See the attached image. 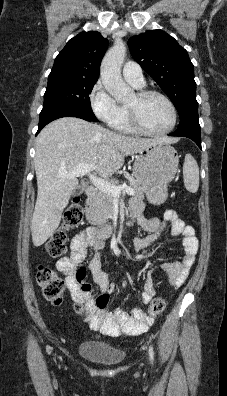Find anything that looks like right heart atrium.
Listing matches in <instances>:
<instances>
[{
    "mask_svg": "<svg viewBox=\"0 0 227 396\" xmlns=\"http://www.w3.org/2000/svg\"><path fill=\"white\" fill-rule=\"evenodd\" d=\"M89 103L94 115L106 124H111L119 114L120 106L98 80L89 93Z\"/></svg>",
    "mask_w": 227,
    "mask_h": 396,
    "instance_id": "1",
    "label": "right heart atrium"
}]
</instances>
